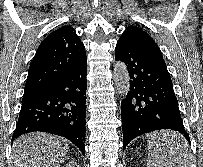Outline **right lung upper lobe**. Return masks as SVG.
<instances>
[{
	"label": "right lung upper lobe",
	"mask_w": 203,
	"mask_h": 167,
	"mask_svg": "<svg viewBox=\"0 0 203 167\" xmlns=\"http://www.w3.org/2000/svg\"><path fill=\"white\" fill-rule=\"evenodd\" d=\"M86 57L85 47L71 26L50 33L39 45L29 67L24 96L42 92Z\"/></svg>",
	"instance_id": "right-lung-upper-lobe-1"
}]
</instances>
